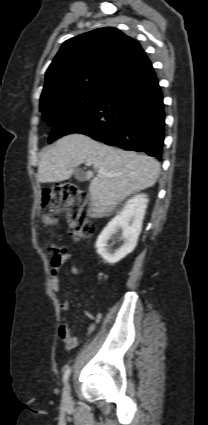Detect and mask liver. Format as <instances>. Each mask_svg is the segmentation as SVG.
<instances>
[{
  "mask_svg": "<svg viewBox=\"0 0 208 425\" xmlns=\"http://www.w3.org/2000/svg\"><path fill=\"white\" fill-rule=\"evenodd\" d=\"M86 162H91L94 169L85 175L90 180L92 217L109 214L131 194L152 187L160 171V163L153 157L113 148L74 133L60 138L43 153L37 180L40 183L67 180L75 167Z\"/></svg>",
  "mask_w": 208,
  "mask_h": 425,
  "instance_id": "6515ba94",
  "label": "liver"
}]
</instances>
